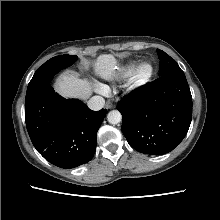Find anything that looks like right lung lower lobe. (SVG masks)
Wrapping results in <instances>:
<instances>
[{"label":"right lung lower lobe","mask_w":220,"mask_h":220,"mask_svg":"<svg viewBox=\"0 0 220 220\" xmlns=\"http://www.w3.org/2000/svg\"><path fill=\"white\" fill-rule=\"evenodd\" d=\"M106 113V109L92 111L78 99H64L50 85L25 102V122L34 147L47 161L65 169L92 159Z\"/></svg>","instance_id":"right-lung-lower-lobe-1"}]
</instances>
